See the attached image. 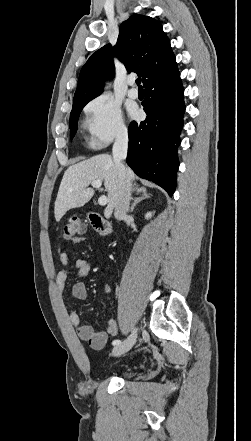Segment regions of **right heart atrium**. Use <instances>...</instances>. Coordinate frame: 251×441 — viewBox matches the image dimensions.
<instances>
[{
    "label": "right heart atrium",
    "instance_id": "1",
    "mask_svg": "<svg viewBox=\"0 0 251 441\" xmlns=\"http://www.w3.org/2000/svg\"><path fill=\"white\" fill-rule=\"evenodd\" d=\"M85 127L93 148H102L127 135L122 112L118 103L108 95H99L84 108Z\"/></svg>",
    "mask_w": 251,
    "mask_h": 441
}]
</instances>
